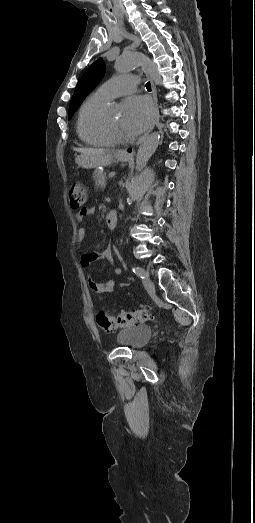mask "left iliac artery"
I'll use <instances>...</instances> for the list:
<instances>
[{"label": "left iliac artery", "mask_w": 255, "mask_h": 523, "mask_svg": "<svg viewBox=\"0 0 255 523\" xmlns=\"http://www.w3.org/2000/svg\"><path fill=\"white\" fill-rule=\"evenodd\" d=\"M132 271L137 274V276H139L141 279H144L145 278V273H144V270L140 267H132Z\"/></svg>", "instance_id": "obj_1"}]
</instances>
